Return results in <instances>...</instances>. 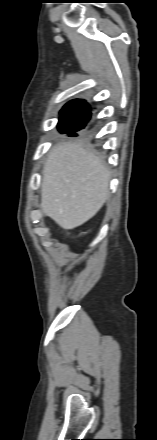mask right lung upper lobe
<instances>
[{
	"mask_svg": "<svg viewBox=\"0 0 157 440\" xmlns=\"http://www.w3.org/2000/svg\"><path fill=\"white\" fill-rule=\"evenodd\" d=\"M90 109L91 108L84 100H72L60 111L61 117L59 121H76L80 125L85 126L91 116Z\"/></svg>",
	"mask_w": 157,
	"mask_h": 440,
	"instance_id": "obj_1",
	"label": "right lung upper lobe"
}]
</instances>
